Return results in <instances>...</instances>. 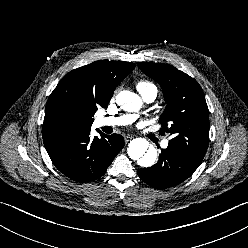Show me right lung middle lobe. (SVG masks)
<instances>
[{
	"label": "right lung middle lobe",
	"mask_w": 248,
	"mask_h": 248,
	"mask_svg": "<svg viewBox=\"0 0 248 248\" xmlns=\"http://www.w3.org/2000/svg\"><path fill=\"white\" fill-rule=\"evenodd\" d=\"M96 111L97 109H92L88 114H80L76 112L66 111L64 112L63 117H65L68 121H71V122L76 121L82 117H86L88 128H90L93 123L92 117L94 116Z\"/></svg>",
	"instance_id": "right-lung-middle-lobe-1"
}]
</instances>
